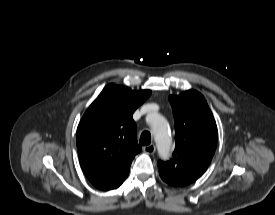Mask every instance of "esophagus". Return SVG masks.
<instances>
[{
	"instance_id": "esophagus-1",
	"label": "esophagus",
	"mask_w": 275,
	"mask_h": 215,
	"mask_svg": "<svg viewBox=\"0 0 275 215\" xmlns=\"http://www.w3.org/2000/svg\"><path fill=\"white\" fill-rule=\"evenodd\" d=\"M143 151H144L146 154H154L155 151H156V147H155L154 144H150V145L144 146V147H143Z\"/></svg>"
}]
</instances>
